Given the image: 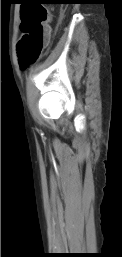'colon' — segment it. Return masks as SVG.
Returning <instances> with one entry per match:
<instances>
[{
    "instance_id": "colon-1",
    "label": "colon",
    "mask_w": 122,
    "mask_h": 257,
    "mask_svg": "<svg viewBox=\"0 0 122 257\" xmlns=\"http://www.w3.org/2000/svg\"><path fill=\"white\" fill-rule=\"evenodd\" d=\"M22 36L18 43L20 63L36 60L49 40V13L44 5H20Z\"/></svg>"
}]
</instances>
